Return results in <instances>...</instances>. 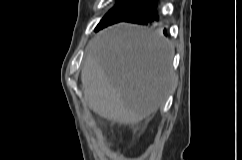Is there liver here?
I'll use <instances>...</instances> for the list:
<instances>
[{"label":"liver","instance_id":"obj_1","mask_svg":"<svg viewBox=\"0 0 242 160\" xmlns=\"http://www.w3.org/2000/svg\"><path fill=\"white\" fill-rule=\"evenodd\" d=\"M173 53L166 38L137 25L102 30L89 42L81 71L89 107L122 124L149 117L173 88Z\"/></svg>","mask_w":242,"mask_h":160}]
</instances>
